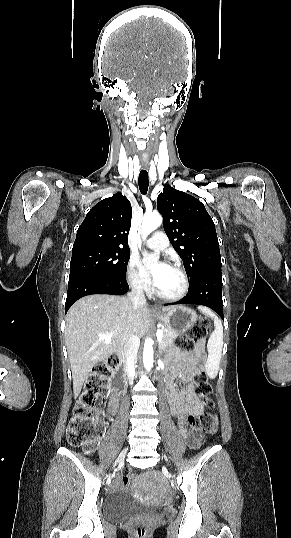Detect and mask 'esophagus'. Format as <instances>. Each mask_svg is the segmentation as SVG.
Here are the masks:
<instances>
[{
  "label": "esophagus",
  "mask_w": 291,
  "mask_h": 538,
  "mask_svg": "<svg viewBox=\"0 0 291 538\" xmlns=\"http://www.w3.org/2000/svg\"><path fill=\"white\" fill-rule=\"evenodd\" d=\"M143 168H147V165H143Z\"/></svg>",
  "instance_id": "1"
}]
</instances>
